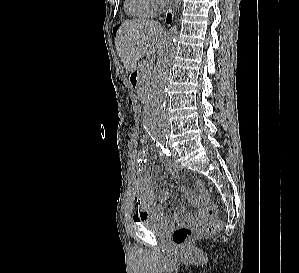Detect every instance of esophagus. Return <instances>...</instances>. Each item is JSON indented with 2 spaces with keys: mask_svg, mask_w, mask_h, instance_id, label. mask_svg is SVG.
<instances>
[{
  "mask_svg": "<svg viewBox=\"0 0 299 273\" xmlns=\"http://www.w3.org/2000/svg\"><path fill=\"white\" fill-rule=\"evenodd\" d=\"M178 1L179 0H171L170 5H169V10L171 9L172 11H174L177 8Z\"/></svg>",
  "mask_w": 299,
  "mask_h": 273,
  "instance_id": "esophagus-1",
  "label": "esophagus"
}]
</instances>
